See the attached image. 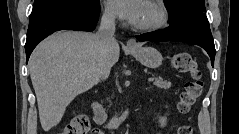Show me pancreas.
<instances>
[{"label":"pancreas","instance_id":"pancreas-1","mask_svg":"<svg viewBox=\"0 0 239 134\" xmlns=\"http://www.w3.org/2000/svg\"><path fill=\"white\" fill-rule=\"evenodd\" d=\"M154 85L160 89L168 90L171 87V83L166 80L155 78Z\"/></svg>","mask_w":239,"mask_h":134}]
</instances>
